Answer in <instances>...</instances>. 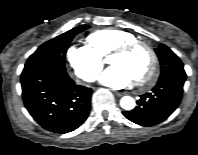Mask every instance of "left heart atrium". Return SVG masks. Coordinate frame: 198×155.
Segmentation results:
<instances>
[{"mask_svg":"<svg viewBox=\"0 0 198 155\" xmlns=\"http://www.w3.org/2000/svg\"><path fill=\"white\" fill-rule=\"evenodd\" d=\"M100 82L113 89H122L134 83L131 73L119 65L109 67L99 78Z\"/></svg>","mask_w":198,"mask_h":155,"instance_id":"obj_1","label":"left heart atrium"}]
</instances>
